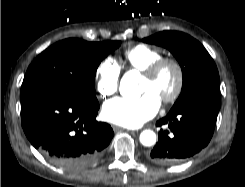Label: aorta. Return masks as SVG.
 Returning <instances> with one entry per match:
<instances>
[{"label": "aorta", "mask_w": 245, "mask_h": 187, "mask_svg": "<svg viewBox=\"0 0 245 187\" xmlns=\"http://www.w3.org/2000/svg\"><path fill=\"white\" fill-rule=\"evenodd\" d=\"M139 77H132L129 73H126L120 81V93L129 100H136L140 96V90L138 87ZM140 142L144 146H152L156 143V134L151 130H144L140 134Z\"/></svg>", "instance_id": "aorta-1"}]
</instances>
